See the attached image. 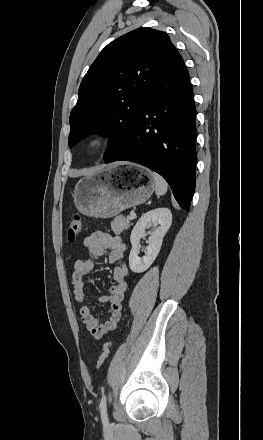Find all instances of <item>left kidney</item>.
Masks as SVG:
<instances>
[{
  "instance_id": "5707ae66",
  "label": "left kidney",
  "mask_w": 263,
  "mask_h": 440,
  "mask_svg": "<svg viewBox=\"0 0 263 440\" xmlns=\"http://www.w3.org/2000/svg\"><path fill=\"white\" fill-rule=\"evenodd\" d=\"M172 223V213L168 208H156L143 214L134 226L130 241L132 249L129 255L130 269L135 273L146 271L156 259L164 236L169 230ZM157 227L155 232L149 237V245L146 248L145 255L140 258L139 242L145 236V230L149 226Z\"/></svg>"
}]
</instances>
